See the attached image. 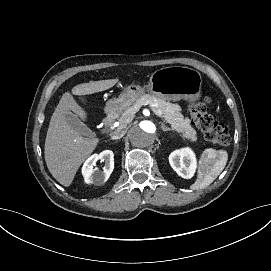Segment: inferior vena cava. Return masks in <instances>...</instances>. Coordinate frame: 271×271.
I'll return each instance as SVG.
<instances>
[{"mask_svg": "<svg viewBox=\"0 0 271 271\" xmlns=\"http://www.w3.org/2000/svg\"><path fill=\"white\" fill-rule=\"evenodd\" d=\"M124 134H125L124 131H118V130H116V131H114V132L112 133L111 139H113V140H115V139H120V138H122V137L124 136Z\"/></svg>", "mask_w": 271, "mask_h": 271, "instance_id": "1", "label": "inferior vena cava"}]
</instances>
